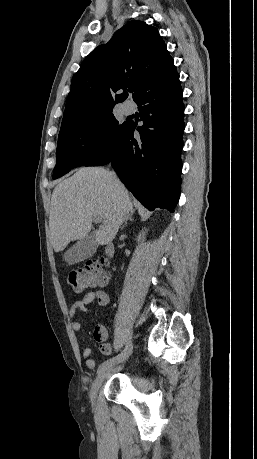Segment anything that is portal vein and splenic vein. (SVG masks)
Segmentation results:
<instances>
[{
	"mask_svg": "<svg viewBox=\"0 0 257 459\" xmlns=\"http://www.w3.org/2000/svg\"><path fill=\"white\" fill-rule=\"evenodd\" d=\"M93 220H94V222H96V223H99V222L101 221L100 217H98V216H95V217L93 218Z\"/></svg>",
	"mask_w": 257,
	"mask_h": 459,
	"instance_id": "portal-vein-and-splenic-vein-1",
	"label": "portal vein and splenic vein"
}]
</instances>
